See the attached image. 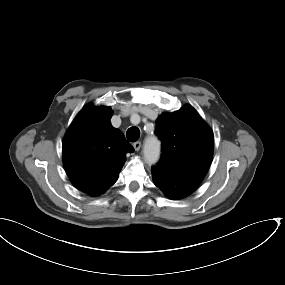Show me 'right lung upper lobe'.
Segmentation results:
<instances>
[{
	"label": "right lung upper lobe",
	"instance_id": "obj_1",
	"mask_svg": "<svg viewBox=\"0 0 285 285\" xmlns=\"http://www.w3.org/2000/svg\"><path fill=\"white\" fill-rule=\"evenodd\" d=\"M110 107L87 105L73 120L62 143L63 163L73 185L92 196L118 179L126 154L134 148L111 125Z\"/></svg>",
	"mask_w": 285,
	"mask_h": 285
}]
</instances>
